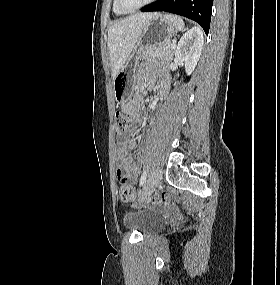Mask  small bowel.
I'll return each instance as SVG.
<instances>
[{
    "label": "small bowel",
    "mask_w": 280,
    "mask_h": 285,
    "mask_svg": "<svg viewBox=\"0 0 280 285\" xmlns=\"http://www.w3.org/2000/svg\"><path fill=\"white\" fill-rule=\"evenodd\" d=\"M143 81L147 82L150 86L154 83L153 81L148 80L146 77L143 78ZM157 83L159 89V96L160 98H163L167 94L169 88V75L167 73L161 74L158 77ZM139 101V97L133 99L132 101L124 105V110L133 115H137L139 112ZM118 144V179L120 181L132 180L133 182H137V179L139 177V169L130 156V153L136 148V143L134 141H130L126 135H122L119 137Z\"/></svg>",
    "instance_id": "1"
}]
</instances>
